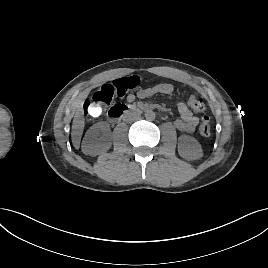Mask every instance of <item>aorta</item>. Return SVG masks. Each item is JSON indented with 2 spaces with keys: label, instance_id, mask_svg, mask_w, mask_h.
Masks as SVG:
<instances>
[{
  "label": "aorta",
  "instance_id": "obj_1",
  "mask_svg": "<svg viewBox=\"0 0 268 268\" xmlns=\"http://www.w3.org/2000/svg\"><path fill=\"white\" fill-rule=\"evenodd\" d=\"M155 117H156V114L153 111H147L145 113V118L148 121H153L155 119Z\"/></svg>",
  "mask_w": 268,
  "mask_h": 268
}]
</instances>
